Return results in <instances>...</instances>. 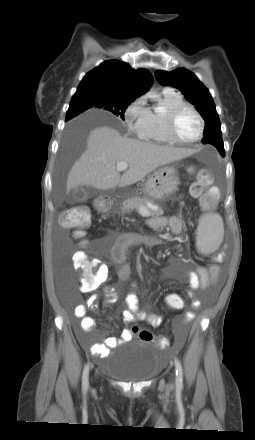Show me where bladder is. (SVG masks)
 <instances>
[{
	"instance_id": "bladder-1",
	"label": "bladder",
	"mask_w": 255,
	"mask_h": 440,
	"mask_svg": "<svg viewBox=\"0 0 255 440\" xmlns=\"http://www.w3.org/2000/svg\"><path fill=\"white\" fill-rule=\"evenodd\" d=\"M157 350V347H151L146 343L126 347L118 358L112 359L109 375L120 381L132 383L154 378L159 366Z\"/></svg>"
}]
</instances>
